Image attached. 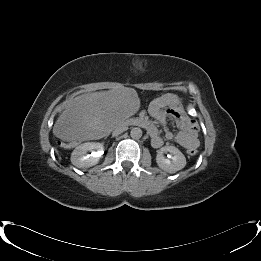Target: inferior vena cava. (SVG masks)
<instances>
[{"label": "inferior vena cava", "mask_w": 261, "mask_h": 261, "mask_svg": "<svg viewBox=\"0 0 261 261\" xmlns=\"http://www.w3.org/2000/svg\"><path fill=\"white\" fill-rule=\"evenodd\" d=\"M126 130H127V127L125 125L117 126L115 128V130L113 131V135L117 136V135L121 134L122 132H124Z\"/></svg>", "instance_id": "1"}]
</instances>
